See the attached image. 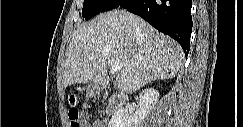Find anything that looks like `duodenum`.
<instances>
[{"label": "duodenum", "instance_id": "obj_1", "mask_svg": "<svg viewBox=\"0 0 243 127\" xmlns=\"http://www.w3.org/2000/svg\"><path fill=\"white\" fill-rule=\"evenodd\" d=\"M127 97L120 91H114L109 97L110 113L114 114L119 110L126 102Z\"/></svg>", "mask_w": 243, "mask_h": 127}]
</instances>
